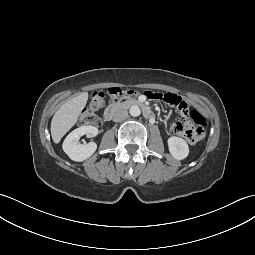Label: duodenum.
<instances>
[{"label": "duodenum", "instance_id": "obj_1", "mask_svg": "<svg viewBox=\"0 0 255 255\" xmlns=\"http://www.w3.org/2000/svg\"><path fill=\"white\" fill-rule=\"evenodd\" d=\"M140 107L143 111L144 116L149 119L153 120L154 119V113L153 111L145 105L141 100H138L136 98H128L122 102H115L110 104L104 112V118L105 120L109 121L111 120L118 111L128 108V107Z\"/></svg>", "mask_w": 255, "mask_h": 255}]
</instances>
